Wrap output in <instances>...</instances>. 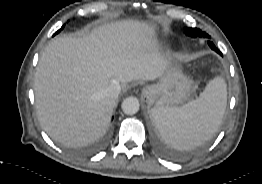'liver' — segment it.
<instances>
[{"mask_svg": "<svg viewBox=\"0 0 262 184\" xmlns=\"http://www.w3.org/2000/svg\"><path fill=\"white\" fill-rule=\"evenodd\" d=\"M154 27L137 20L100 25L80 37H57L43 51L34 81L41 126L55 141L82 146L107 130L116 105L106 89L151 81L169 61L155 49Z\"/></svg>", "mask_w": 262, "mask_h": 184, "instance_id": "6515ba94", "label": "liver"}]
</instances>
